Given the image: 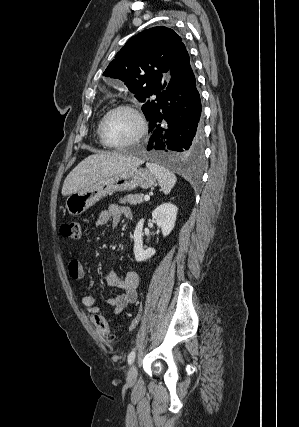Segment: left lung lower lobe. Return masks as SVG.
Returning <instances> with one entry per match:
<instances>
[{
	"label": "left lung lower lobe",
	"instance_id": "left-lung-lower-lobe-1",
	"mask_svg": "<svg viewBox=\"0 0 299 427\" xmlns=\"http://www.w3.org/2000/svg\"><path fill=\"white\" fill-rule=\"evenodd\" d=\"M169 81L151 107L147 150L161 161L194 159L202 154L201 99L183 42L173 58Z\"/></svg>",
	"mask_w": 299,
	"mask_h": 427
}]
</instances>
